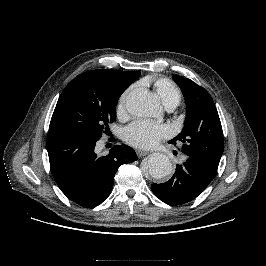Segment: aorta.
<instances>
[{"mask_svg": "<svg viewBox=\"0 0 266 266\" xmlns=\"http://www.w3.org/2000/svg\"><path fill=\"white\" fill-rule=\"evenodd\" d=\"M126 109L137 117L156 116L160 112L159 98L144 89L134 90L127 96ZM142 169L151 177L161 179L171 174L172 164L166 155L153 153L148 156Z\"/></svg>", "mask_w": 266, "mask_h": 266, "instance_id": "1", "label": "aorta"}]
</instances>
